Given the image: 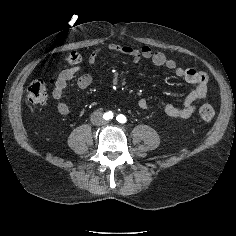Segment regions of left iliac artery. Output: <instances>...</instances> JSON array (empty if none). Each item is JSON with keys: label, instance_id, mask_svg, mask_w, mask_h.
<instances>
[{"label": "left iliac artery", "instance_id": "44dca946", "mask_svg": "<svg viewBox=\"0 0 236 236\" xmlns=\"http://www.w3.org/2000/svg\"><path fill=\"white\" fill-rule=\"evenodd\" d=\"M116 119L119 123H125L127 121L126 117L122 114L117 115Z\"/></svg>", "mask_w": 236, "mask_h": 236}]
</instances>
